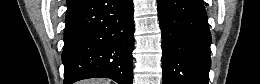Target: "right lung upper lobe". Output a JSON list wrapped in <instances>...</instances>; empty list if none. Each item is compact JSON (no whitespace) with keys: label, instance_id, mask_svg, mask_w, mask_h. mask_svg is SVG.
<instances>
[{"label":"right lung upper lobe","instance_id":"obj_1","mask_svg":"<svg viewBox=\"0 0 260 84\" xmlns=\"http://www.w3.org/2000/svg\"><path fill=\"white\" fill-rule=\"evenodd\" d=\"M82 0H68V9L76 6L78 3H80Z\"/></svg>","mask_w":260,"mask_h":84}]
</instances>
